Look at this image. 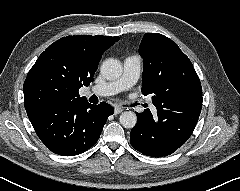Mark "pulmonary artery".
<instances>
[{
    "instance_id": "pulmonary-artery-1",
    "label": "pulmonary artery",
    "mask_w": 240,
    "mask_h": 191,
    "mask_svg": "<svg viewBox=\"0 0 240 191\" xmlns=\"http://www.w3.org/2000/svg\"><path fill=\"white\" fill-rule=\"evenodd\" d=\"M141 71V59L137 55L128 56L123 62L122 75L113 81L95 85L91 91L99 96H111L132 88L138 81Z\"/></svg>"
}]
</instances>
